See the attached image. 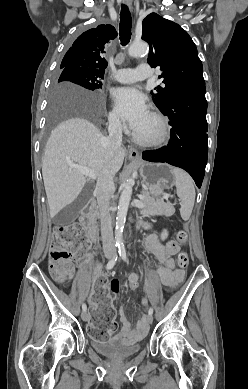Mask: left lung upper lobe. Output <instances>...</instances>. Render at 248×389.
<instances>
[{
    "label": "left lung upper lobe",
    "mask_w": 248,
    "mask_h": 389,
    "mask_svg": "<svg viewBox=\"0 0 248 389\" xmlns=\"http://www.w3.org/2000/svg\"><path fill=\"white\" fill-rule=\"evenodd\" d=\"M142 39L150 46L147 62L162 71L159 79L164 86L152 92L159 110L181 91L205 86L197 48L178 24L151 13L142 22Z\"/></svg>",
    "instance_id": "5c2ea615"
}]
</instances>
